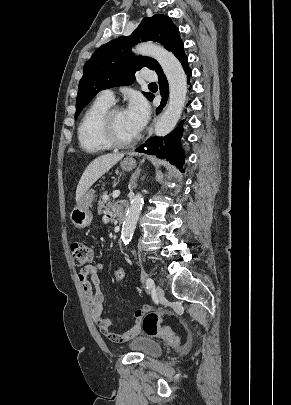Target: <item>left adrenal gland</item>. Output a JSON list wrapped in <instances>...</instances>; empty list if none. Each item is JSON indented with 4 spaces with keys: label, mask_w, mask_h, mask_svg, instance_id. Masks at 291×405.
<instances>
[{
    "label": "left adrenal gland",
    "mask_w": 291,
    "mask_h": 405,
    "mask_svg": "<svg viewBox=\"0 0 291 405\" xmlns=\"http://www.w3.org/2000/svg\"><path fill=\"white\" fill-rule=\"evenodd\" d=\"M141 169H137L136 172L133 174L132 179L130 181V186H132V188H136L137 187V178L140 174Z\"/></svg>",
    "instance_id": "left-adrenal-gland-1"
}]
</instances>
